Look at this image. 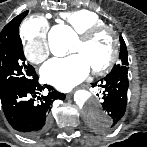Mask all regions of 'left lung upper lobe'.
Returning a JSON list of instances; mask_svg holds the SVG:
<instances>
[{
    "label": "left lung upper lobe",
    "instance_id": "5c2ea615",
    "mask_svg": "<svg viewBox=\"0 0 147 147\" xmlns=\"http://www.w3.org/2000/svg\"><path fill=\"white\" fill-rule=\"evenodd\" d=\"M120 42H121V49H120V55H119L120 63L115 65L109 74L118 72L121 69H128L127 48L122 36L120 37Z\"/></svg>",
    "mask_w": 147,
    "mask_h": 147
}]
</instances>
